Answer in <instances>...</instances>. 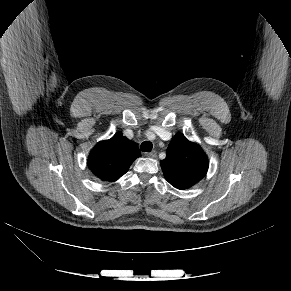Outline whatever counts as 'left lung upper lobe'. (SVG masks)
<instances>
[{
  "mask_svg": "<svg viewBox=\"0 0 291 291\" xmlns=\"http://www.w3.org/2000/svg\"><path fill=\"white\" fill-rule=\"evenodd\" d=\"M165 179L177 189H188L208 171V158L201 147L176 134L170 142L166 158L160 162Z\"/></svg>",
  "mask_w": 291,
  "mask_h": 291,
  "instance_id": "obj_1",
  "label": "left lung upper lobe"
}]
</instances>
